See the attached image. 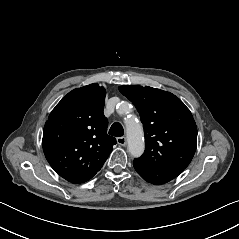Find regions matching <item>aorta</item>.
Segmentation results:
<instances>
[{"label": "aorta", "mask_w": 239, "mask_h": 239, "mask_svg": "<svg viewBox=\"0 0 239 239\" xmlns=\"http://www.w3.org/2000/svg\"><path fill=\"white\" fill-rule=\"evenodd\" d=\"M125 108V112H127L128 104L127 102H123L118 107V113H120L121 109ZM127 139H128V152L133 157H140L145 149L144 145V133L142 125L139 123L127 124Z\"/></svg>", "instance_id": "obj_1"}]
</instances>
